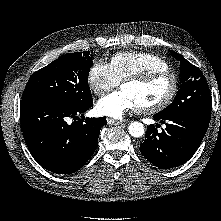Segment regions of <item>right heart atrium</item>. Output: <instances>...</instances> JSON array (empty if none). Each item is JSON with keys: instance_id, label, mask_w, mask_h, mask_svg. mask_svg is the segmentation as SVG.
<instances>
[{"instance_id": "right-heart-atrium-1", "label": "right heart atrium", "mask_w": 221, "mask_h": 221, "mask_svg": "<svg viewBox=\"0 0 221 221\" xmlns=\"http://www.w3.org/2000/svg\"><path fill=\"white\" fill-rule=\"evenodd\" d=\"M87 82L94 94L102 96L120 84L111 65L105 61L92 64L87 74Z\"/></svg>"}]
</instances>
